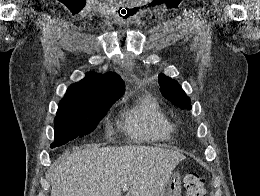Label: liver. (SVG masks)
I'll return each instance as SVG.
<instances>
[{
  "instance_id": "obj_1",
  "label": "liver",
  "mask_w": 260,
  "mask_h": 196,
  "mask_svg": "<svg viewBox=\"0 0 260 196\" xmlns=\"http://www.w3.org/2000/svg\"><path fill=\"white\" fill-rule=\"evenodd\" d=\"M185 156L149 146H80L52 170L51 196H160Z\"/></svg>"
}]
</instances>
